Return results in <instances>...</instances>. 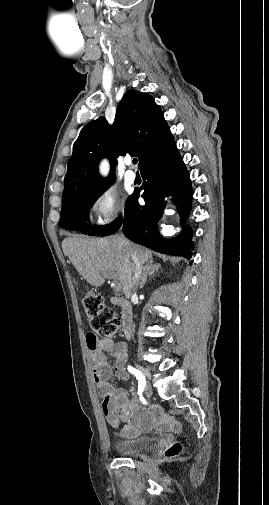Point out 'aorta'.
Listing matches in <instances>:
<instances>
[{
	"instance_id": "1",
	"label": "aorta",
	"mask_w": 269,
	"mask_h": 505,
	"mask_svg": "<svg viewBox=\"0 0 269 505\" xmlns=\"http://www.w3.org/2000/svg\"><path fill=\"white\" fill-rule=\"evenodd\" d=\"M100 172L102 175H106L108 172V164L106 161H103L100 165Z\"/></svg>"
}]
</instances>
